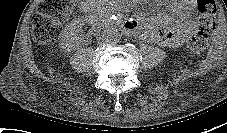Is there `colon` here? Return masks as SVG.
<instances>
[{
    "label": "colon",
    "mask_w": 227,
    "mask_h": 133,
    "mask_svg": "<svg viewBox=\"0 0 227 133\" xmlns=\"http://www.w3.org/2000/svg\"><path fill=\"white\" fill-rule=\"evenodd\" d=\"M82 1V0H81ZM80 0H42L32 17V36L40 45L55 42L61 31V21ZM199 10L198 29L189 43L193 53H199L208 43L216 25L214 0H197Z\"/></svg>",
    "instance_id": "obj_1"
}]
</instances>
